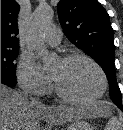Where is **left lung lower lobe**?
<instances>
[{"label": "left lung lower lobe", "mask_w": 123, "mask_h": 130, "mask_svg": "<svg viewBox=\"0 0 123 130\" xmlns=\"http://www.w3.org/2000/svg\"><path fill=\"white\" fill-rule=\"evenodd\" d=\"M118 108H119L121 111H123V108H122V107H121V108H120V107H118Z\"/></svg>", "instance_id": "1"}]
</instances>
